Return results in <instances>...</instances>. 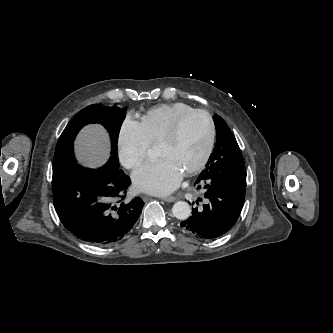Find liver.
<instances>
[{
  "label": "liver",
  "mask_w": 333,
  "mask_h": 333,
  "mask_svg": "<svg viewBox=\"0 0 333 333\" xmlns=\"http://www.w3.org/2000/svg\"><path fill=\"white\" fill-rule=\"evenodd\" d=\"M76 156L86 166H98L109 157V139L105 129L97 124L86 126L76 141Z\"/></svg>",
  "instance_id": "6515ba94"
}]
</instances>
